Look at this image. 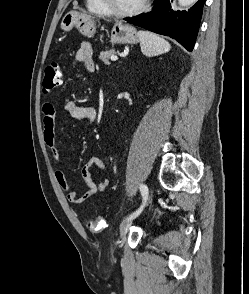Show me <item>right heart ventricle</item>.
<instances>
[{
	"label": "right heart ventricle",
	"mask_w": 249,
	"mask_h": 294,
	"mask_svg": "<svg viewBox=\"0 0 249 294\" xmlns=\"http://www.w3.org/2000/svg\"><path fill=\"white\" fill-rule=\"evenodd\" d=\"M86 7L89 12L100 16L108 15L100 0H86Z\"/></svg>",
	"instance_id": "e07e8e85"
}]
</instances>
